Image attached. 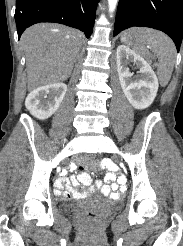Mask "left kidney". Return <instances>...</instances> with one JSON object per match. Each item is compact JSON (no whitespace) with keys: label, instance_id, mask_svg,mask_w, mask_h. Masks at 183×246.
<instances>
[{"label":"left kidney","instance_id":"left-kidney-1","mask_svg":"<svg viewBox=\"0 0 183 246\" xmlns=\"http://www.w3.org/2000/svg\"><path fill=\"white\" fill-rule=\"evenodd\" d=\"M130 61L140 69V75L135 79L127 67ZM116 63L120 84L129 103L135 109L149 107L159 87L158 79L149 63L126 45L117 47Z\"/></svg>","mask_w":183,"mask_h":246}]
</instances>
